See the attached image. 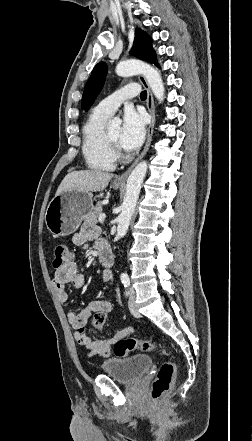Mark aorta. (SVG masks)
Wrapping results in <instances>:
<instances>
[{"mask_svg":"<svg viewBox=\"0 0 252 441\" xmlns=\"http://www.w3.org/2000/svg\"><path fill=\"white\" fill-rule=\"evenodd\" d=\"M116 73L122 77L136 74L144 75L155 98L160 103L164 100L165 88L161 75L159 71L151 65L138 60L121 61L116 66ZM120 124L121 121L118 118H114L112 121H110V125L112 126H119ZM147 168L148 165L146 161L140 162L132 170L127 179L126 193L122 204V210L117 218L118 225L116 238L118 239L123 237L128 231Z\"/></svg>","mask_w":252,"mask_h":441,"instance_id":"aorta-1","label":"aorta"}]
</instances>
